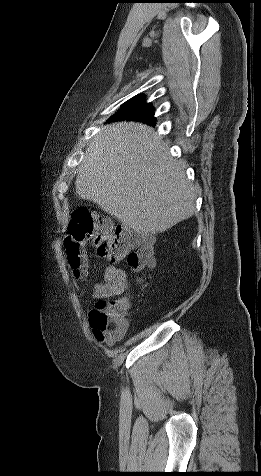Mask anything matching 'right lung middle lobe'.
<instances>
[{
    "label": "right lung middle lobe",
    "instance_id": "1",
    "mask_svg": "<svg viewBox=\"0 0 261 476\" xmlns=\"http://www.w3.org/2000/svg\"><path fill=\"white\" fill-rule=\"evenodd\" d=\"M153 108L144 102H127L120 111L113 117L114 119H133L149 123H154Z\"/></svg>",
    "mask_w": 261,
    "mask_h": 476
}]
</instances>
